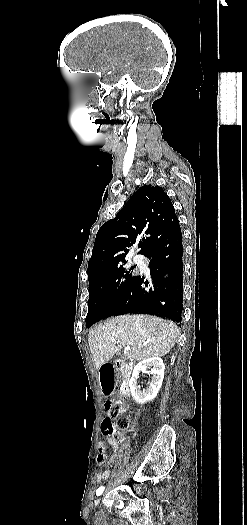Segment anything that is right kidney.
<instances>
[{
    "label": "right kidney",
    "mask_w": 247,
    "mask_h": 525,
    "mask_svg": "<svg viewBox=\"0 0 247 525\" xmlns=\"http://www.w3.org/2000/svg\"><path fill=\"white\" fill-rule=\"evenodd\" d=\"M147 369H151V381H149L146 389H140L137 379H139L141 371H147ZM164 369L165 365L160 357L145 359V361H141V363H138V365L134 367L132 377L129 381V387L131 395L138 405L149 403V401H153V399L157 397V393L162 387Z\"/></svg>",
    "instance_id": "obj_1"
}]
</instances>
